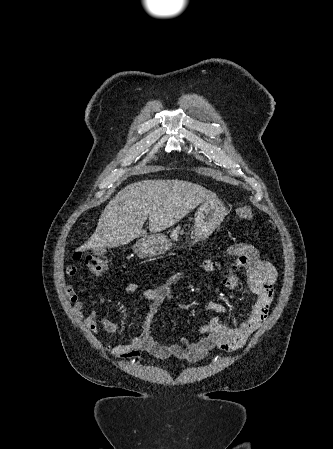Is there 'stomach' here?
I'll use <instances>...</instances> for the list:
<instances>
[{"mask_svg": "<svg viewBox=\"0 0 333 449\" xmlns=\"http://www.w3.org/2000/svg\"><path fill=\"white\" fill-rule=\"evenodd\" d=\"M227 210L223 202L218 199L205 200L199 207L194 228L192 230L193 243L204 240L223 222ZM172 247V242L165 235L158 234L143 238L136 242L133 251L140 257L156 256L165 253Z\"/></svg>", "mask_w": 333, "mask_h": 449, "instance_id": "stomach-1", "label": "stomach"}]
</instances>
